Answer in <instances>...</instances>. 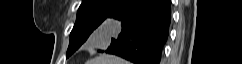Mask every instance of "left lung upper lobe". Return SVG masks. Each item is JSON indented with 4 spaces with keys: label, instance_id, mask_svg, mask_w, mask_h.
Listing matches in <instances>:
<instances>
[{
    "label": "left lung upper lobe",
    "instance_id": "obj_1",
    "mask_svg": "<svg viewBox=\"0 0 242 64\" xmlns=\"http://www.w3.org/2000/svg\"><path fill=\"white\" fill-rule=\"evenodd\" d=\"M125 0H83L75 25L70 33V43L66 57L72 55L105 19V17Z\"/></svg>",
    "mask_w": 242,
    "mask_h": 64
}]
</instances>
